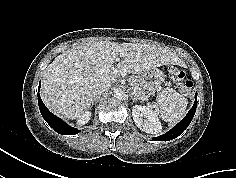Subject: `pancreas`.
<instances>
[{
	"label": "pancreas",
	"instance_id": "pancreas-1",
	"mask_svg": "<svg viewBox=\"0 0 236 178\" xmlns=\"http://www.w3.org/2000/svg\"><path fill=\"white\" fill-rule=\"evenodd\" d=\"M135 93L140 97H146L145 91L139 86L138 83H135Z\"/></svg>",
	"mask_w": 236,
	"mask_h": 178
}]
</instances>
